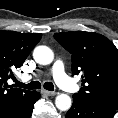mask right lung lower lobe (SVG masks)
Wrapping results in <instances>:
<instances>
[{"label":"right lung lower lobe","mask_w":118,"mask_h":118,"mask_svg":"<svg viewBox=\"0 0 118 118\" xmlns=\"http://www.w3.org/2000/svg\"><path fill=\"white\" fill-rule=\"evenodd\" d=\"M39 98H40V94L37 92V95H36L35 99L33 100V102L31 103V105L26 110H24L21 114L16 116L15 118H30L34 104Z\"/></svg>","instance_id":"obj_1"}]
</instances>
